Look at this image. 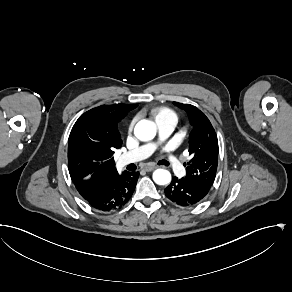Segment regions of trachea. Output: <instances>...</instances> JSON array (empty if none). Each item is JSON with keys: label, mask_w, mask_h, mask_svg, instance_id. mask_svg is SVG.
<instances>
[{"label": "trachea", "mask_w": 292, "mask_h": 292, "mask_svg": "<svg viewBox=\"0 0 292 292\" xmlns=\"http://www.w3.org/2000/svg\"><path fill=\"white\" fill-rule=\"evenodd\" d=\"M162 165H167V162L164 160V161L162 162Z\"/></svg>", "instance_id": "3493384b"}]
</instances>
